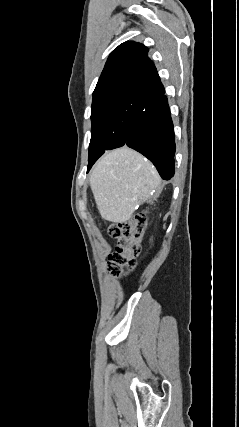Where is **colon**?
Returning <instances> with one entry per match:
<instances>
[{"mask_svg": "<svg viewBox=\"0 0 239 427\" xmlns=\"http://www.w3.org/2000/svg\"><path fill=\"white\" fill-rule=\"evenodd\" d=\"M146 226L143 213L134 215L130 220L113 224L109 227V235L116 240V252L107 263V270L113 276H121L135 265V258L140 252L139 241Z\"/></svg>", "mask_w": 239, "mask_h": 427, "instance_id": "1", "label": "colon"}]
</instances>
